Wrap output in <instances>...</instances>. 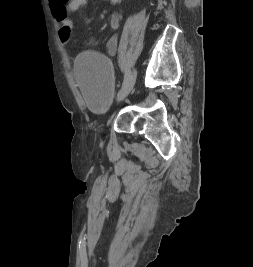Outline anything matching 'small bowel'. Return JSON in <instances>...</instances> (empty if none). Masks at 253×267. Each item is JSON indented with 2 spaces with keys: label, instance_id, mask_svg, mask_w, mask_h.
I'll list each match as a JSON object with an SVG mask.
<instances>
[{
  "label": "small bowel",
  "instance_id": "c3829d8e",
  "mask_svg": "<svg viewBox=\"0 0 253 267\" xmlns=\"http://www.w3.org/2000/svg\"><path fill=\"white\" fill-rule=\"evenodd\" d=\"M112 4H118L120 0H106ZM88 0H49L51 12L61 26L72 28L71 16L74 12L87 6ZM120 14L115 12L110 16L109 27L112 34L106 42V50L110 55L116 53L119 43L117 31L120 27Z\"/></svg>",
  "mask_w": 253,
  "mask_h": 267
}]
</instances>
